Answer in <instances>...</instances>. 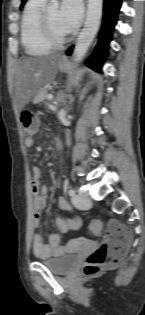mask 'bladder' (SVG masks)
<instances>
[{
  "instance_id": "31cf9c89",
  "label": "bladder",
  "mask_w": 145,
  "mask_h": 315,
  "mask_svg": "<svg viewBox=\"0 0 145 315\" xmlns=\"http://www.w3.org/2000/svg\"><path fill=\"white\" fill-rule=\"evenodd\" d=\"M39 261L47 266L53 273L64 275L78 264L77 256L63 255L57 258H39Z\"/></svg>"
}]
</instances>
